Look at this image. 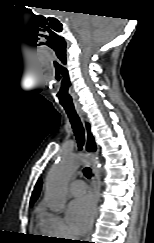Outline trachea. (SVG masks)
<instances>
[{"label": "trachea", "instance_id": "3493384b", "mask_svg": "<svg viewBox=\"0 0 154 243\" xmlns=\"http://www.w3.org/2000/svg\"><path fill=\"white\" fill-rule=\"evenodd\" d=\"M65 112L69 117V120L71 122L72 125V129L74 131V134L76 136L77 139V143H78V147L81 150L84 142H85V138H84V128L83 125L81 123V120L76 112V110L73 108H65ZM84 175L90 179L91 178V169L89 167H85L83 170Z\"/></svg>", "mask_w": 154, "mask_h": 243}]
</instances>
